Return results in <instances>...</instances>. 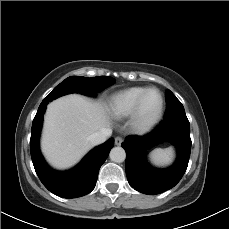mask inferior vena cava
<instances>
[{"label": "inferior vena cava", "mask_w": 229, "mask_h": 229, "mask_svg": "<svg viewBox=\"0 0 229 229\" xmlns=\"http://www.w3.org/2000/svg\"><path fill=\"white\" fill-rule=\"evenodd\" d=\"M112 134V129L102 128L89 136V141L92 145H98L107 140V138Z\"/></svg>", "instance_id": "obj_1"}]
</instances>
